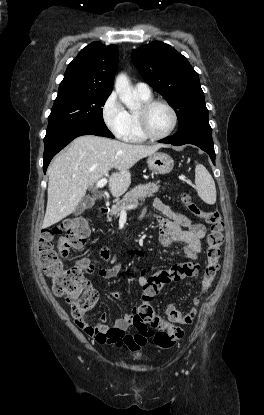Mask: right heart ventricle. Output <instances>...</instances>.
<instances>
[{
    "mask_svg": "<svg viewBox=\"0 0 264 415\" xmlns=\"http://www.w3.org/2000/svg\"><path fill=\"white\" fill-rule=\"evenodd\" d=\"M138 96L142 100V102L151 100V95L144 96V95L138 94ZM127 114H128V126H127L126 132L122 136V139L128 142H134V143L144 141L145 138L139 132L136 111L130 110L127 112Z\"/></svg>",
    "mask_w": 264,
    "mask_h": 415,
    "instance_id": "1",
    "label": "right heart ventricle"
}]
</instances>
